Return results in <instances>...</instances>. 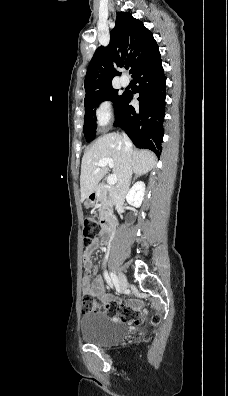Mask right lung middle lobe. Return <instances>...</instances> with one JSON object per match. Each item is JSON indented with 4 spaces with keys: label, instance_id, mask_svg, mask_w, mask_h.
I'll return each mask as SVG.
<instances>
[{
    "label": "right lung middle lobe",
    "instance_id": "obj_1",
    "mask_svg": "<svg viewBox=\"0 0 228 396\" xmlns=\"http://www.w3.org/2000/svg\"><path fill=\"white\" fill-rule=\"evenodd\" d=\"M124 96L125 93L119 94L117 89L110 86L97 91L84 99L85 116L83 131L87 142H90L95 138L97 125L96 115L94 112L96 111V107H98L102 101L111 100L114 102L115 109L117 110Z\"/></svg>",
    "mask_w": 228,
    "mask_h": 396
}]
</instances>
